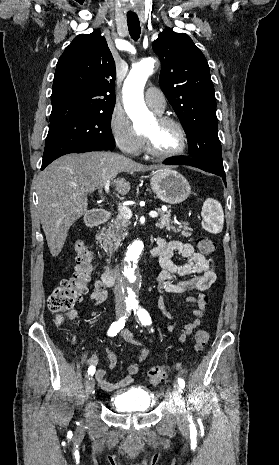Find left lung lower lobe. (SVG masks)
<instances>
[{
  "mask_svg": "<svg viewBox=\"0 0 279 465\" xmlns=\"http://www.w3.org/2000/svg\"><path fill=\"white\" fill-rule=\"evenodd\" d=\"M163 163L168 164V165H190V166H193V167H197V168L202 169L204 171L211 172V173H214L216 175H219L220 177H222V179H223V181H224V183L226 185L225 173L217 172V171L211 169L210 167H208L207 165L201 163L198 160L187 158V157H177V158H169V159L165 160Z\"/></svg>",
  "mask_w": 279,
  "mask_h": 465,
  "instance_id": "obj_1",
  "label": "left lung lower lobe"
}]
</instances>
